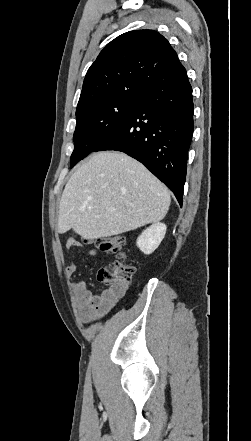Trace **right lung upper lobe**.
<instances>
[{
  "label": "right lung upper lobe",
  "instance_id": "cb5924a9",
  "mask_svg": "<svg viewBox=\"0 0 251 441\" xmlns=\"http://www.w3.org/2000/svg\"><path fill=\"white\" fill-rule=\"evenodd\" d=\"M184 69L169 42L154 30H135L111 41L88 69L77 111L115 96L143 95Z\"/></svg>",
  "mask_w": 251,
  "mask_h": 441
}]
</instances>
